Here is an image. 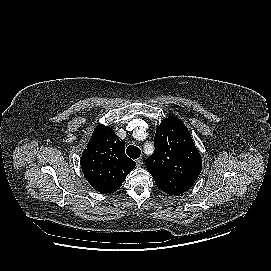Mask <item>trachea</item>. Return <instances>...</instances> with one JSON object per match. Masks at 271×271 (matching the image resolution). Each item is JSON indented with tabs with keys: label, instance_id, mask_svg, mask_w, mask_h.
<instances>
[{
	"label": "trachea",
	"instance_id": "obj_1",
	"mask_svg": "<svg viewBox=\"0 0 271 271\" xmlns=\"http://www.w3.org/2000/svg\"><path fill=\"white\" fill-rule=\"evenodd\" d=\"M126 152H127V155L132 159L139 158L141 154V150L137 146H133V145L128 146Z\"/></svg>",
	"mask_w": 271,
	"mask_h": 271
}]
</instances>
